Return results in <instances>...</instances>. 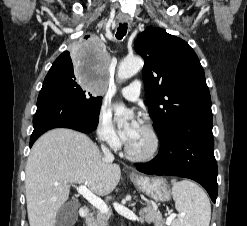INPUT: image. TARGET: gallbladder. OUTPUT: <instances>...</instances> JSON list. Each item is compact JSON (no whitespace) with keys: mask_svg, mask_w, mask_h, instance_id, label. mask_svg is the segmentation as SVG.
<instances>
[{"mask_svg":"<svg viewBox=\"0 0 247 226\" xmlns=\"http://www.w3.org/2000/svg\"><path fill=\"white\" fill-rule=\"evenodd\" d=\"M80 203L72 200L61 206L56 216L55 226H73L78 219Z\"/></svg>","mask_w":247,"mask_h":226,"instance_id":"bac80fb5","label":"gallbladder"}]
</instances>
